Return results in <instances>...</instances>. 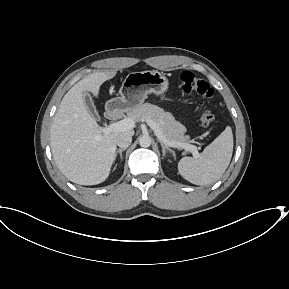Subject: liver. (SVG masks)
Returning a JSON list of instances; mask_svg holds the SVG:
<instances>
[{"label": "liver", "mask_w": 289, "mask_h": 289, "mask_svg": "<svg viewBox=\"0 0 289 289\" xmlns=\"http://www.w3.org/2000/svg\"><path fill=\"white\" fill-rule=\"evenodd\" d=\"M116 71L92 73L76 83L63 97L50 130L54 161L66 178L80 185H96L109 176L119 135L133 130L101 132L87 111L83 92L98 96L100 86Z\"/></svg>", "instance_id": "6515ba94"}]
</instances>
